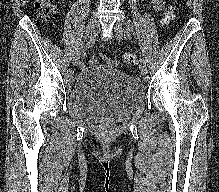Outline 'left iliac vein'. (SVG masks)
Wrapping results in <instances>:
<instances>
[{
    "label": "left iliac vein",
    "mask_w": 219,
    "mask_h": 192,
    "mask_svg": "<svg viewBox=\"0 0 219 192\" xmlns=\"http://www.w3.org/2000/svg\"><path fill=\"white\" fill-rule=\"evenodd\" d=\"M114 30L118 36V38H123L124 36V32L126 31V29L124 28V25L121 21H118L115 23L114 25ZM140 73L142 76H146L147 74V66H146V62L140 61Z\"/></svg>",
    "instance_id": "obj_1"
}]
</instances>
